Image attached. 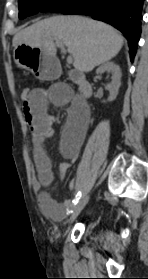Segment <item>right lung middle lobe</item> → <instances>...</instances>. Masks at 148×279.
<instances>
[{"mask_svg":"<svg viewBox=\"0 0 148 279\" xmlns=\"http://www.w3.org/2000/svg\"><path fill=\"white\" fill-rule=\"evenodd\" d=\"M81 1L83 0H18L19 18L23 19L38 12H61Z\"/></svg>","mask_w":148,"mask_h":279,"instance_id":"1","label":"right lung middle lobe"}]
</instances>
